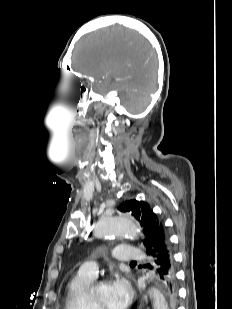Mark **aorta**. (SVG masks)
<instances>
[{
    "mask_svg": "<svg viewBox=\"0 0 232 309\" xmlns=\"http://www.w3.org/2000/svg\"><path fill=\"white\" fill-rule=\"evenodd\" d=\"M139 227L129 217L113 216L98 222L95 229L97 237H112L118 235H128L130 238H136ZM148 295L151 299L153 309H169L165 297L157 288H149Z\"/></svg>",
    "mask_w": 232,
    "mask_h": 309,
    "instance_id": "1",
    "label": "aorta"
}]
</instances>
